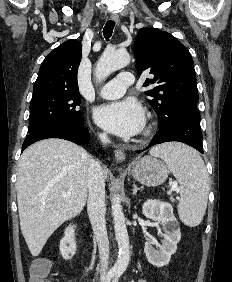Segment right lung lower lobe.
Listing matches in <instances>:
<instances>
[{
	"instance_id": "98d812e1",
	"label": "right lung lower lobe",
	"mask_w": 232,
	"mask_h": 282,
	"mask_svg": "<svg viewBox=\"0 0 232 282\" xmlns=\"http://www.w3.org/2000/svg\"><path fill=\"white\" fill-rule=\"evenodd\" d=\"M89 137V132L83 127V124L59 122L29 133L22 145V150L36 141L47 138H61L76 144H86Z\"/></svg>"
}]
</instances>
